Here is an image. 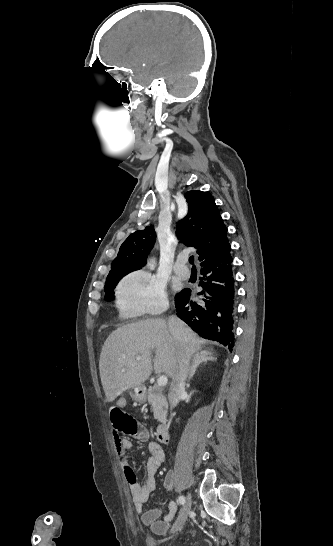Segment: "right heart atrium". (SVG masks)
<instances>
[{
  "label": "right heart atrium",
  "mask_w": 333,
  "mask_h": 546,
  "mask_svg": "<svg viewBox=\"0 0 333 546\" xmlns=\"http://www.w3.org/2000/svg\"><path fill=\"white\" fill-rule=\"evenodd\" d=\"M116 304L123 319L157 316L168 307L165 287L145 271L126 275L116 289Z\"/></svg>",
  "instance_id": "1"
}]
</instances>
